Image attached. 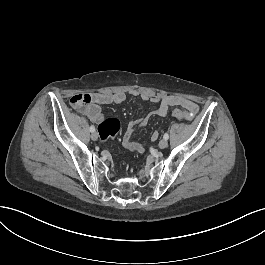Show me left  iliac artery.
I'll return each instance as SVG.
<instances>
[{
  "instance_id": "left-iliac-artery-1",
  "label": "left iliac artery",
  "mask_w": 265,
  "mask_h": 265,
  "mask_svg": "<svg viewBox=\"0 0 265 265\" xmlns=\"http://www.w3.org/2000/svg\"><path fill=\"white\" fill-rule=\"evenodd\" d=\"M163 138L166 139V140H168V138H169L168 133H165L164 136H163Z\"/></svg>"
}]
</instances>
